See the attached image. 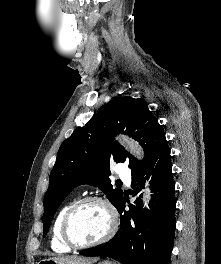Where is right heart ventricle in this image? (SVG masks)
Here are the masks:
<instances>
[{
  "instance_id": "right-heart-ventricle-1",
  "label": "right heart ventricle",
  "mask_w": 221,
  "mask_h": 264,
  "mask_svg": "<svg viewBox=\"0 0 221 264\" xmlns=\"http://www.w3.org/2000/svg\"><path fill=\"white\" fill-rule=\"evenodd\" d=\"M72 202H67L58 212L52 227L51 233V247L55 252L58 253H66L71 250V248L65 244L61 236V224L64 217L65 212L69 208Z\"/></svg>"
}]
</instances>
